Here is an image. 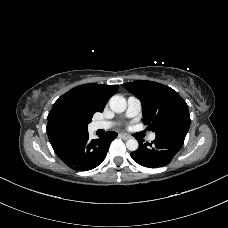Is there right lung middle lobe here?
I'll use <instances>...</instances> for the list:
<instances>
[{
	"label": "right lung middle lobe",
	"mask_w": 228,
	"mask_h": 228,
	"mask_svg": "<svg viewBox=\"0 0 228 228\" xmlns=\"http://www.w3.org/2000/svg\"><path fill=\"white\" fill-rule=\"evenodd\" d=\"M59 121L65 129L86 131L92 116L85 115L73 108H64L59 113Z\"/></svg>",
	"instance_id": "1"
}]
</instances>
